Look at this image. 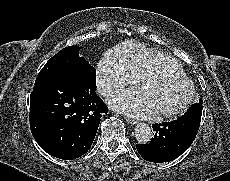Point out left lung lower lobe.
<instances>
[{"label": "left lung lower lobe", "instance_id": "left-lung-lower-lobe-1", "mask_svg": "<svg viewBox=\"0 0 230 181\" xmlns=\"http://www.w3.org/2000/svg\"><path fill=\"white\" fill-rule=\"evenodd\" d=\"M202 115V104H193L184 116L175 121L153 124L154 137L148 144H137L143 159L150 162H169L183 154L193 143Z\"/></svg>", "mask_w": 230, "mask_h": 181}]
</instances>
